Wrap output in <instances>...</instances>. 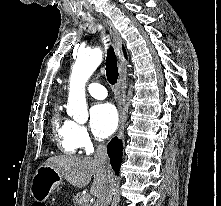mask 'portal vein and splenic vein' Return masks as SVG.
I'll list each match as a JSON object with an SVG mask.
<instances>
[{
  "mask_svg": "<svg viewBox=\"0 0 221 206\" xmlns=\"http://www.w3.org/2000/svg\"><path fill=\"white\" fill-rule=\"evenodd\" d=\"M87 199H88V200L90 199V195H87Z\"/></svg>",
  "mask_w": 221,
  "mask_h": 206,
  "instance_id": "18ae733b",
  "label": "portal vein and splenic vein"
}]
</instances>
